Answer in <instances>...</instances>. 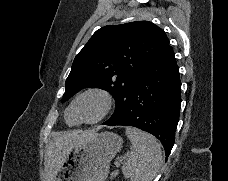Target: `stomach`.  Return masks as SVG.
Masks as SVG:
<instances>
[{
	"instance_id": "0dacf381",
	"label": "stomach",
	"mask_w": 228,
	"mask_h": 181,
	"mask_svg": "<svg viewBox=\"0 0 228 181\" xmlns=\"http://www.w3.org/2000/svg\"><path fill=\"white\" fill-rule=\"evenodd\" d=\"M122 143L115 133H96L71 149L55 181H106L110 161L122 149Z\"/></svg>"
}]
</instances>
